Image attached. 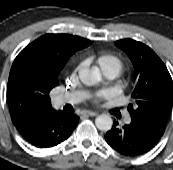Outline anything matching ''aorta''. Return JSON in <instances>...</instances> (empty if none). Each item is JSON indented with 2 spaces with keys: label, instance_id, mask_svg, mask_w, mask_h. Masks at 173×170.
Masks as SVG:
<instances>
[{
  "label": "aorta",
  "instance_id": "1",
  "mask_svg": "<svg viewBox=\"0 0 173 170\" xmlns=\"http://www.w3.org/2000/svg\"><path fill=\"white\" fill-rule=\"evenodd\" d=\"M79 79L83 84L91 86L97 84L101 77L97 72L83 68L79 71ZM95 125L101 131H109L112 128L113 120L109 115L101 114L96 117Z\"/></svg>",
  "mask_w": 173,
  "mask_h": 170
}]
</instances>
